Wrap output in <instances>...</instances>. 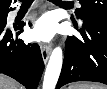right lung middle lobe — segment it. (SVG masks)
<instances>
[{
  "label": "right lung middle lobe",
  "mask_w": 107,
  "mask_h": 89,
  "mask_svg": "<svg viewBox=\"0 0 107 89\" xmlns=\"http://www.w3.org/2000/svg\"><path fill=\"white\" fill-rule=\"evenodd\" d=\"M5 18V15L3 14V12H0V19Z\"/></svg>",
  "instance_id": "right-lung-middle-lobe-1"
}]
</instances>
